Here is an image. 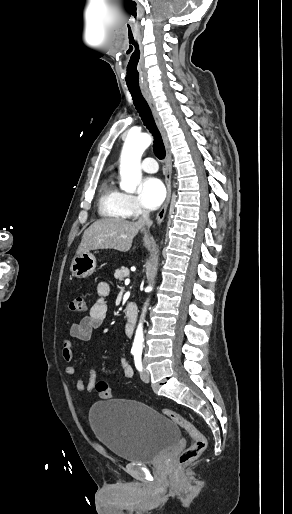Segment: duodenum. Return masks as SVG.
<instances>
[{"label":"duodenum","instance_id":"obj_1","mask_svg":"<svg viewBox=\"0 0 292 514\" xmlns=\"http://www.w3.org/2000/svg\"><path fill=\"white\" fill-rule=\"evenodd\" d=\"M127 314L126 332L131 333L136 323L138 308L134 302H128L125 307Z\"/></svg>","mask_w":292,"mask_h":514}]
</instances>
